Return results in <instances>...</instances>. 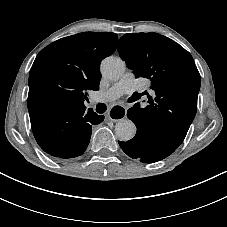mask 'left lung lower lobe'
Here are the masks:
<instances>
[{
	"label": "left lung lower lobe",
	"mask_w": 227,
	"mask_h": 227,
	"mask_svg": "<svg viewBox=\"0 0 227 227\" xmlns=\"http://www.w3.org/2000/svg\"><path fill=\"white\" fill-rule=\"evenodd\" d=\"M141 108H130L127 116L132 120L137 133L131 140L119 141L122 150L131 158L138 159L143 163H153L162 160L172 154L178 146H173L159 139L146 125H143Z\"/></svg>",
	"instance_id": "left-lung-lower-lobe-1"
}]
</instances>
